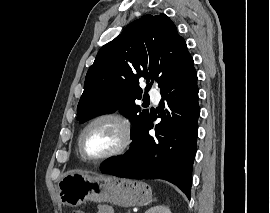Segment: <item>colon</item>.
I'll return each instance as SVG.
<instances>
[{
  "instance_id": "colon-1",
  "label": "colon",
  "mask_w": 270,
  "mask_h": 213,
  "mask_svg": "<svg viewBox=\"0 0 270 213\" xmlns=\"http://www.w3.org/2000/svg\"><path fill=\"white\" fill-rule=\"evenodd\" d=\"M73 213H85V212L80 211V210H76V211H74Z\"/></svg>"
}]
</instances>
